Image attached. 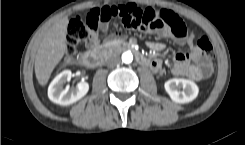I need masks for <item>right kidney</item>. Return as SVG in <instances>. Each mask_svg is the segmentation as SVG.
Here are the masks:
<instances>
[{
    "label": "right kidney",
    "instance_id": "1",
    "mask_svg": "<svg viewBox=\"0 0 245 145\" xmlns=\"http://www.w3.org/2000/svg\"><path fill=\"white\" fill-rule=\"evenodd\" d=\"M72 73L65 70L58 74L48 87L49 99L59 105H70L81 99L89 89L88 83L80 81L76 87L63 89V84L70 81Z\"/></svg>",
    "mask_w": 245,
    "mask_h": 145
}]
</instances>
